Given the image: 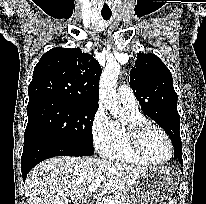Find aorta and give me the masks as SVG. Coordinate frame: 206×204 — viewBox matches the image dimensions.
Listing matches in <instances>:
<instances>
[{
  "mask_svg": "<svg viewBox=\"0 0 206 204\" xmlns=\"http://www.w3.org/2000/svg\"><path fill=\"white\" fill-rule=\"evenodd\" d=\"M119 74L120 65L116 61L109 62L106 64L99 82L100 101L113 117H120L123 114L116 94Z\"/></svg>",
  "mask_w": 206,
  "mask_h": 204,
  "instance_id": "aorta-1",
  "label": "aorta"
}]
</instances>
